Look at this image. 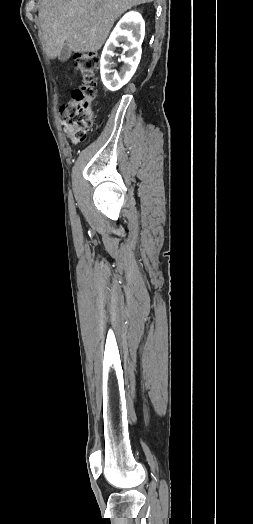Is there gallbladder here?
Masks as SVG:
<instances>
[{"instance_id": "obj_1", "label": "gallbladder", "mask_w": 253, "mask_h": 524, "mask_svg": "<svg viewBox=\"0 0 253 524\" xmlns=\"http://www.w3.org/2000/svg\"><path fill=\"white\" fill-rule=\"evenodd\" d=\"M70 55H71V50H70V48L67 45H65L61 49V51H60V53L58 55V59L61 62H66L70 58Z\"/></svg>"}]
</instances>
